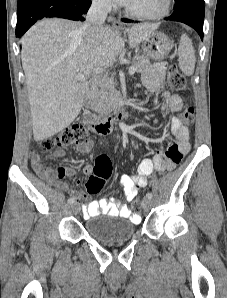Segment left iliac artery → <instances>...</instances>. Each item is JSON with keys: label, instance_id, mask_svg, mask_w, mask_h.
Returning <instances> with one entry per match:
<instances>
[{"label": "left iliac artery", "instance_id": "left-iliac-artery-1", "mask_svg": "<svg viewBox=\"0 0 227 298\" xmlns=\"http://www.w3.org/2000/svg\"><path fill=\"white\" fill-rule=\"evenodd\" d=\"M146 197L149 198V199H151V198H152V193L148 192V193L146 194Z\"/></svg>", "mask_w": 227, "mask_h": 298}]
</instances>
